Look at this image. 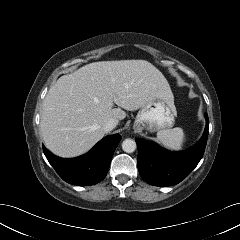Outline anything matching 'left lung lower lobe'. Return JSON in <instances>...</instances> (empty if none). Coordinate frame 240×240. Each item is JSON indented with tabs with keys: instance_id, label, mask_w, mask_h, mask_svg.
<instances>
[{
	"instance_id": "left-lung-lower-lobe-1",
	"label": "left lung lower lobe",
	"mask_w": 240,
	"mask_h": 240,
	"mask_svg": "<svg viewBox=\"0 0 240 240\" xmlns=\"http://www.w3.org/2000/svg\"><path fill=\"white\" fill-rule=\"evenodd\" d=\"M201 139L190 149L167 151L157 144L137 138L138 170L142 179L154 186H171L186 178L201 160L208 137L209 120Z\"/></svg>"
}]
</instances>
